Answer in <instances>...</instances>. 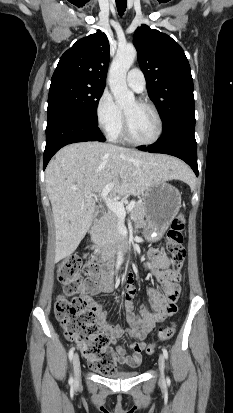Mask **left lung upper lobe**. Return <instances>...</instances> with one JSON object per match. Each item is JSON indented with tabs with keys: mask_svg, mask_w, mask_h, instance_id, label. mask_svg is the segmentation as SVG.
Listing matches in <instances>:
<instances>
[{
	"mask_svg": "<svg viewBox=\"0 0 233 413\" xmlns=\"http://www.w3.org/2000/svg\"><path fill=\"white\" fill-rule=\"evenodd\" d=\"M134 45L148 92L162 117L163 130L177 121L195 123L193 79L181 46L146 25L135 31Z\"/></svg>",
	"mask_w": 233,
	"mask_h": 413,
	"instance_id": "obj_1",
	"label": "left lung upper lobe"
}]
</instances>
